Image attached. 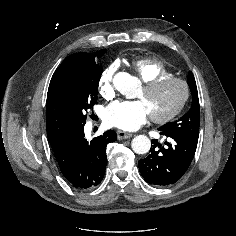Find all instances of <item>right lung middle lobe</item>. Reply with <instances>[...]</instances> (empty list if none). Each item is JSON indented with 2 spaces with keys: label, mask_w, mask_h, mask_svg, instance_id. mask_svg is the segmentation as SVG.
Instances as JSON below:
<instances>
[{
  "label": "right lung middle lobe",
  "mask_w": 236,
  "mask_h": 236,
  "mask_svg": "<svg viewBox=\"0 0 236 236\" xmlns=\"http://www.w3.org/2000/svg\"><path fill=\"white\" fill-rule=\"evenodd\" d=\"M104 50L90 53H79L75 59V72L64 86L63 102L70 117L73 129L83 127L86 122V112L97 102L98 83L102 68L95 62ZM49 139V138H48ZM60 136L54 135L51 140L57 141Z\"/></svg>",
  "instance_id": "1"
}]
</instances>
